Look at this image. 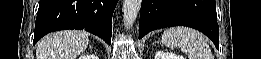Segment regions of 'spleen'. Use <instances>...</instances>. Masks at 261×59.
<instances>
[{
	"label": "spleen",
	"mask_w": 261,
	"mask_h": 59,
	"mask_svg": "<svg viewBox=\"0 0 261 59\" xmlns=\"http://www.w3.org/2000/svg\"><path fill=\"white\" fill-rule=\"evenodd\" d=\"M162 43L171 49L180 47L189 59H213L205 37L192 28L181 26L168 28L162 34Z\"/></svg>",
	"instance_id": "obj_1"
}]
</instances>
